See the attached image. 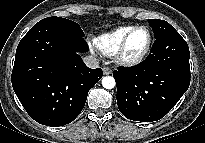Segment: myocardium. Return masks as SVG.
<instances>
[{
  "instance_id": "f54148a6",
  "label": "myocardium",
  "mask_w": 205,
  "mask_h": 143,
  "mask_svg": "<svg viewBox=\"0 0 205 143\" xmlns=\"http://www.w3.org/2000/svg\"><path fill=\"white\" fill-rule=\"evenodd\" d=\"M139 29H144L147 32V34H148L147 45H146L145 49L143 50V52L139 56L134 57V58H129L126 56V48H127L128 41H129L131 35L136 30H139ZM152 43H153V35H152L151 30L147 26H144V25L134 26L132 29H130L126 33V35L122 39L118 49L116 50V52L114 54L115 62L121 66H124V67H133V66L139 65L148 56V54L151 50V47H152Z\"/></svg>"
}]
</instances>
